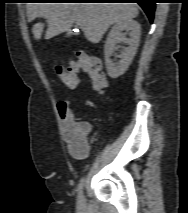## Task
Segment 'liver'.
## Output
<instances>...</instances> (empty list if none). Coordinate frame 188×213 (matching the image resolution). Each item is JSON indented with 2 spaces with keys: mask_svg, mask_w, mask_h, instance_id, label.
<instances>
[{
  "mask_svg": "<svg viewBox=\"0 0 188 213\" xmlns=\"http://www.w3.org/2000/svg\"><path fill=\"white\" fill-rule=\"evenodd\" d=\"M136 3H29L27 17L31 22L37 17L46 19L45 39H51L76 24L82 28L88 41L98 43L108 28L117 22L137 17ZM43 23L32 28L36 40L41 39Z\"/></svg>",
  "mask_w": 188,
  "mask_h": 213,
  "instance_id": "1",
  "label": "liver"
}]
</instances>
